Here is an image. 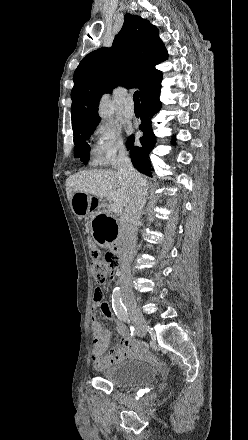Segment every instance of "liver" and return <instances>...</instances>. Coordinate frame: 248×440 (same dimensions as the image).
I'll return each mask as SVG.
<instances>
[{
    "label": "liver",
    "instance_id": "6515ba94",
    "mask_svg": "<svg viewBox=\"0 0 248 440\" xmlns=\"http://www.w3.org/2000/svg\"><path fill=\"white\" fill-rule=\"evenodd\" d=\"M145 180V178H144ZM134 183L125 176L113 170H88L69 176L66 180L67 198L76 192H83L98 198L126 207L134 196Z\"/></svg>",
    "mask_w": 248,
    "mask_h": 440
}]
</instances>
